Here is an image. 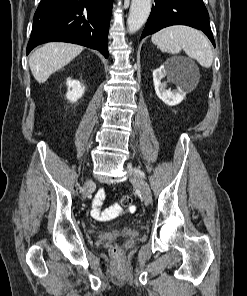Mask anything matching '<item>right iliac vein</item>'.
Here are the masks:
<instances>
[{"label": "right iliac vein", "mask_w": 247, "mask_h": 296, "mask_svg": "<svg viewBox=\"0 0 247 296\" xmlns=\"http://www.w3.org/2000/svg\"><path fill=\"white\" fill-rule=\"evenodd\" d=\"M93 185V182L91 179H88L84 185V191H85V194L90 190V188L92 187Z\"/></svg>", "instance_id": "right-iliac-vein-1"}]
</instances>
